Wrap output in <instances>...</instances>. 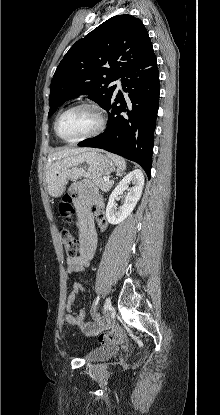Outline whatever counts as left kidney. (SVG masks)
Wrapping results in <instances>:
<instances>
[{"instance_id": "left-kidney-1", "label": "left kidney", "mask_w": 220, "mask_h": 415, "mask_svg": "<svg viewBox=\"0 0 220 415\" xmlns=\"http://www.w3.org/2000/svg\"><path fill=\"white\" fill-rule=\"evenodd\" d=\"M144 175L140 169H135L128 173L116 186L109 197L106 207V217L110 224L116 225L123 222L134 210L139 201L144 187ZM134 186L129 188V184ZM127 191L123 206L118 210L115 206V199L118 195Z\"/></svg>"}]
</instances>
